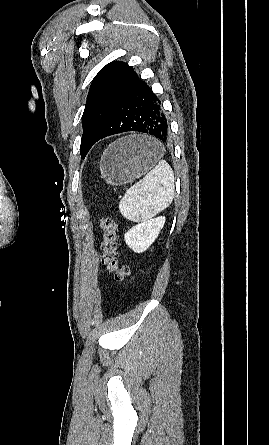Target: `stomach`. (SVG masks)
<instances>
[{
    "label": "stomach",
    "mask_w": 269,
    "mask_h": 445,
    "mask_svg": "<svg viewBox=\"0 0 269 445\" xmlns=\"http://www.w3.org/2000/svg\"><path fill=\"white\" fill-rule=\"evenodd\" d=\"M161 145L146 137L129 136L112 143L100 160L102 178L123 185L145 174L158 161Z\"/></svg>",
    "instance_id": "stomach-1"
}]
</instances>
